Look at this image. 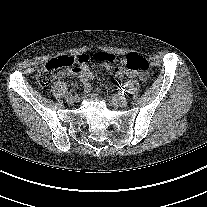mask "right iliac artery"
Segmentation results:
<instances>
[{
    "label": "right iliac artery",
    "mask_w": 207,
    "mask_h": 207,
    "mask_svg": "<svg viewBox=\"0 0 207 207\" xmlns=\"http://www.w3.org/2000/svg\"><path fill=\"white\" fill-rule=\"evenodd\" d=\"M73 91L70 90L69 92H67L66 97L72 96Z\"/></svg>",
    "instance_id": "82829eb1"
}]
</instances>
